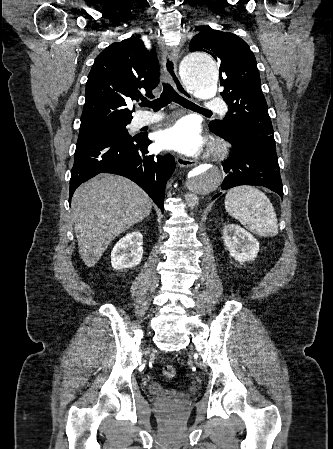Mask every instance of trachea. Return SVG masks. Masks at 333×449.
Returning <instances> with one entry per match:
<instances>
[{
    "mask_svg": "<svg viewBox=\"0 0 333 449\" xmlns=\"http://www.w3.org/2000/svg\"><path fill=\"white\" fill-rule=\"evenodd\" d=\"M141 106H146L152 108L154 111H158L161 108L167 106L172 101L182 105L185 108L199 111V112H210L207 109L201 108L194 104L193 102L187 100L186 98L178 95L173 87L169 83H163V92L160 95V98H157L153 101H148L147 99H141Z\"/></svg>",
    "mask_w": 333,
    "mask_h": 449,
    "instance_id": "trachea-1",
    "label": "trachea"
}]
</instances>
